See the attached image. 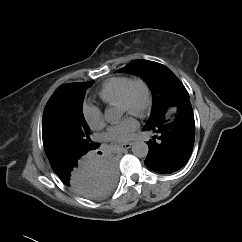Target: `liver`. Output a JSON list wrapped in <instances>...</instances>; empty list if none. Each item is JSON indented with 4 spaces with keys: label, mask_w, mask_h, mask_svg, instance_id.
Returning a JSON list of instances; mask_svg holds the SVG:
<instances>
[{
    "label": "liver",
    "mask_w": 242,
    "mask_h": 242,
    "mask_svg": "<svg viewBox=\"0 0 242 242\" xmlns=\"http://www.w3.org/2000/svg\"><path fill=\"white\" fill-rule=\"evenodd\" d=\"M87 188L89 193H98V191L102 188V186H101V183L98 182L97 180H91L88 183ZM75 191L79 193V190H75Z\"/></svg>",
    "instance_id": "1"
}]
</instances>
